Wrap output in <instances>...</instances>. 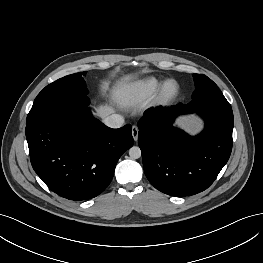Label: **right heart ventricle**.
Wrapping results in <instances>:
<instances>
[{
	"label": "right heart ventricle",
	"instance_id": "obj_1",
	"mask_svg": "<svg viewBox=\"0 0 263 263\" xmlns=\"http://www.w3.org/2000/svg\"><path fill=\"white\" fill-rule=\"evenodd\" d=\"M163 84V81L147 77L122 86L118 92L122 103L132 105L151 98Z\"/></svg>",
	"mask_w": 263,
	"mask_h": 263
}]
</instances>
